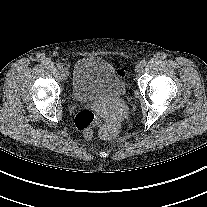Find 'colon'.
Instances as JSON below:
<instances>
[{
    "label": "colon",
    "mask_w": 207,
    "mask_h": 207,
    "mask_svg": "<svg viewBox=\"0 0 207 207\" xmlns=\"http://www.w3.org/2000/svg\"><path fill=\"white\" fill-rule=\"evenodd\" d=\"M118 72L124 77L127 75L128 69L122 67ZM74 122L75 126L84 133V136L90 139L93 136V128L99 123V120L91 110L83 109L77 113Z\"/></svg>",
    "instance_id": "colon-1"
}]
</instances>
